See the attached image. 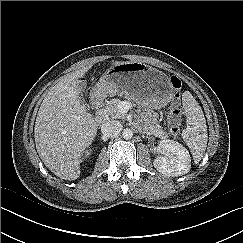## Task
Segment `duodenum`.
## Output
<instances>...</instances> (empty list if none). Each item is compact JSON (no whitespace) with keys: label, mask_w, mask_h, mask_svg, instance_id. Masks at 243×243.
Instances as JSON below:
<instances>
[{"label":"duodenum","mask_w":243,"mask_h":243,"mask_svg":"<svg viewBox=\"0 0 243 243\" xmlns=\"http://www.w3.org/2000/svg\"><path fill=\"white\" fill-rule=\"evenodd\" d=\"M104 103L105 100L101 95H96L94 97V106L96 108V112H95V120L98 123H101L104 121L105 119V113H104Z\"/></svg>","instance_id":"1"}]
</instances>
